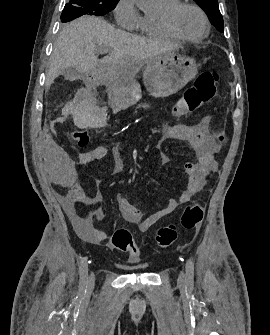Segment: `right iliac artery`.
Wrapping results in <instances>:
<instances>
[{
  "label": "right iliac artery",
  "mask_w": 270,
  "mask_h": 335,
  "mask_svg": "<svg viewBox=\"0 0 270 335\" xmlns=\"http://www.w3.org/2000/svg\"><path fill=\"white\" fill-rule=\"evenodd\" d=\"M87 279H88V263H87V257H84L80 265L79 291L81 294H84L86 292Z\"/></svg>",
  "instance_id": "1"
}]
</instances>
